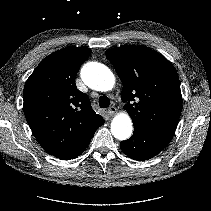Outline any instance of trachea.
Wrapping results in <instances>:
<instances>
[{
  "label": "trachea",
  "instance_id": "3493384b",
  "mask_svg": "<svg viewBox=\"0 0 211 211\" xmlns=\"http://www.w3.org/2000/svg\"><path fill=\"white\" fill-rule=\"evenodd\" d=\"M110 105V99L106 96H101L99 98V106L100 108H107Z\"/></svg>",
  "mask_w": 211,
  "mask_h": 211
}]
</instances>
